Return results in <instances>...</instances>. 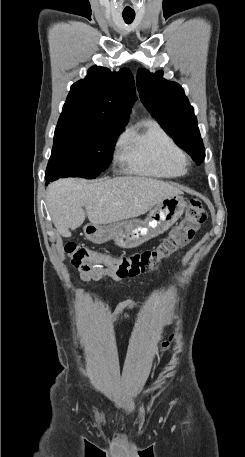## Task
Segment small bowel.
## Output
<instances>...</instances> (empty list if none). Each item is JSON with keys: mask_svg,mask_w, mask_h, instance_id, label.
Returning <instances> with one entry per match:
<instances>
[{"mask_svg": "<svg viewBox=\"0 0 245 457\" xmlns=\"http://www.w3.org/2000/svg\"><path fill=\"white\" fill-rule=\"evenodd\" d=\"M81 280L84 282H88L90 280H100L104 277H109L116 282H120L122 278L118 277L114 271L108 268H100V269H88L82 271L81 273ZM135 307V302L132 299H127L122 301L116 308V311L113 316V321L115 323H120L121 321H125L129 318L130 311ZM171 322V318H167L165 320V324H169Z\"/></svg>", "mask_w": 245, "mask_h": 457, "instance_id": "small-bowel-1", "label": "small bowel"}]
</instances>
